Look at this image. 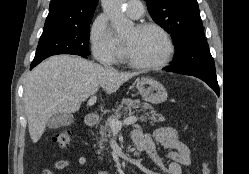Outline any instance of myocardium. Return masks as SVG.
Returning a JSON list of instances; mask_svg holds the SVG:
<instances>
[{
    "instance_id": "f54148a6",
    "label": "myocardium",
    "mask_w": 249,
    "mask_h": 174,
    "mask_svg": "<svg viewBox=\"0 0 249 174\" xmlns=\"http://www.w3.org/2000/svg\"><path fill=\"white\" fill-rule=\"evenodd\" d=\"M136 29L138 31H145V30H149V29L157 30L166 39L168 47H169V51L164 59H162L159 62H155V63H140V62H136L132 59L125 57L124 61L129 66H131L133 68H137V69L152 70V69H159V68L165 67L168 63H170L172 61V59L175 55L176 48H175V44H174V41H173L171 35L169 34V32L165 28H163L161 25L153 23V22H143V23L138 24L136 26Z\"/></svg>"
}]
</instances>
